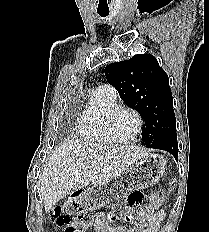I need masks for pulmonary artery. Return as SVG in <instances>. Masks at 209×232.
I'll use <instances>...</instances> for the list:
<instances>
[{"label": "pulmonary artery", "instance_id": "1", "mask_svg": "<svg viewBox=\"0 0 209 232\" xmlns=\"http://www.w3.org/2000/svg\"><path fill=\"white\" fill-rule=\"evenodd\" d=\"M98 88L103 89V91H105V93L112 99L114 100L117 99V90L113 86L105 84V85L99 86Z\"/></svg>", "mask_w": 209, "mask_h": 232}]
</instances>
